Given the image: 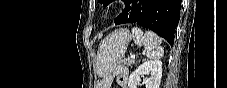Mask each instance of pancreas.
<instances>
[{
	"label": "pancreas",
	"mask_w": 227,
	"mask_h": 88,
	"mask_svg": "<svg viewBox=\"0 0 227 88\" xmlns=\"http://www.w3.org/2000/svg\"><path fill=\"white\" fill-rule=\"evenodd\" d=\"M121 63H123L127 66H132L135 64V60L131 59V58H125V59L121 60Z\"/></svg>",
	"instance_id": "1"
}]
</instances>
